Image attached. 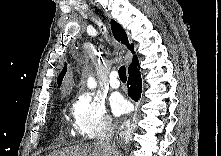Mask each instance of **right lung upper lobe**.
Wrapping results in <instances>:
<instances>
[{
	"label": "right lung upper lobe",
	"instance_id": "right-lung-upper-lobe-1",
	"mask_svg": "<svg viewBox=\"0 0 221 156\" xmlns=\"http://www.w3.org/2000/svg\"><path fill=\"white\" fill-rule=\"evenodd\" d=\"M111 28H112V32H113V35H114L115 39L120 41L124 45L128 46V48L132 51V53H134L133 44H131V45L129 44L128 38H127V35H126V32L124 31V29L114 20H111ZM136 65H139V62H138L137 56L134 55L133 56V61L130 64L129 68L133 67V66H136ZM66 71H67V68L64 67V69L62 70V72L58 76V79H57L58 86L61 85V82L63 80V77H64Z\"/></svg>",
	"mask_w": 221,
	"mask_h": 156
}]
</instances>
